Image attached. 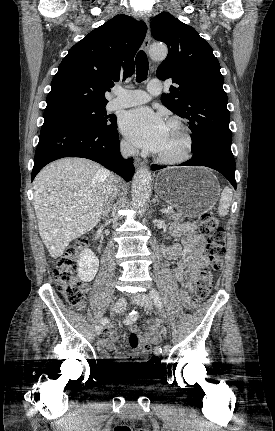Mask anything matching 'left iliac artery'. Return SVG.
I'll return each instance as SVG.
<instances>
[{"label":"left iliac artery","mask_w":275,"mask_h":431,"mask_svg":"<svg viewBox=\"0 0 275 431\" xmlns=\"http://www.w3.org/2000/svg\"><path fill=\"white\" fill-rule=\"evenodd\" d=\"M151 299L153 300L155 306L161 311L163 308L161 297L157 290L152 289L150 291ZM155 354H162V348L160 346L156 347L154 350Z\"/></svg>","instance_id":"left-iliac-artery-1"}]
</instances>
